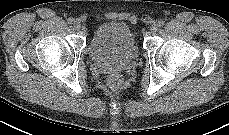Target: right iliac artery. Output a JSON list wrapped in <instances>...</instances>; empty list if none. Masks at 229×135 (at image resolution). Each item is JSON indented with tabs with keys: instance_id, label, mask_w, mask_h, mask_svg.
<instances>
[{
	"instance_id": "82829eb1",
	"label": "right iliac artery",
	"mask_w": 229,
	"mask_h": 135,
	"mask_svg": "<svg viewBox=\"0 0 229 135\" xmlns=\"http://www.w3.org/2000/svg\"><path fill=\"white\" fill-rule=\"evenodd\" d=\"M67 21L69 24H73L75 22L74 18H72V17L68 18Z\"/></svg>"
}]
</instances>
